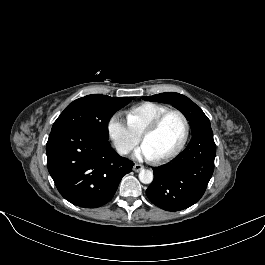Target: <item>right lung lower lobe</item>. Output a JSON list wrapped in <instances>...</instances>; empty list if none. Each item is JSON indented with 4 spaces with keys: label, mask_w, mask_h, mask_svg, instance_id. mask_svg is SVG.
Masks as SVG:
<instances>
[{
    "label": "right lung lower lobe",
    "mask_w": 265,
    "mask_h": 265,
    "mask_svg": "<svg viewBox=\"0 0 265 265\" xmlns=\"http://www.w3.org/2000/svg\"><path fill=\"white\" fill-rule=\"evenodd\" d=\"M46 154L48 171L60 194L84 208L110 201L134 165L119 156L108 139L79 127L51 131Z\"/></svg>",
    "instance_id": "1"
}]
</instances>
